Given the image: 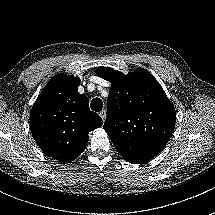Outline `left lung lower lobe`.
<instances>
[{"label":"left lung lower lobe","mask_w":215,"mask_h":215,"mask_svg":"<svg viewBox=\"0 0 215 215\" xmlns=\"http://www.w3.org/2000/svg\"><path fill=\"white\" fill-rule=\"evenodd\" d=\"M130 163H135V164H137V163H139V162H130Z\"/></svg>","instance_id":"1"}]
</instances>
